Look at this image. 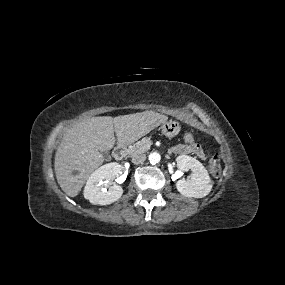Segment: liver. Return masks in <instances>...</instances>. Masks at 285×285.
<instances>
[{"label": "liver", "instance_id": "obj_1", "mask_svg": "<svg viewBox=\"0 0 285 285\" xmlns=\"http://www.w3.org/2000/svg\"><path fill=\"white\" fill-rule=\"evenodd\" d=\"M166 120L163 114L144 111L114 118L92 117L73 125L64 133L55 154L54 168L59 186L68 196H77L89 176L104 162L101 152L114 147V133L118 145L123 147Z\"/></svg>", "mask_w": 285, "mask_h": 285}]
</instances>
